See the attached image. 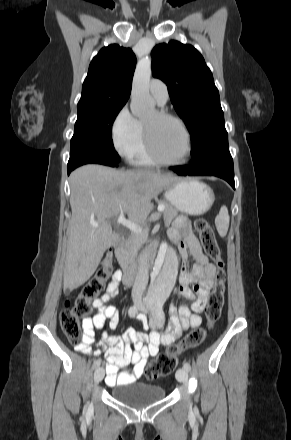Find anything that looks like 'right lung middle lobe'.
Here are the masks:
<instances>
[{
	"instance_id": "dd1d6c3e",
	"label": "right lung middle lobe",
	"mask_w": 291,
	"mask_h": 440,
	"mask_svg": "<svg viewBox=\"0 0 291 440\" xmlns=\"http://www.w3.org/2000/svg\"><path fill=\"white\" fill-rule=\"evenodd\" d=\"M125 102H89L78 104V118L71 139L70 155L89 153L119 163L112 141V124Z\"/></svg>"
}]
</instances>
